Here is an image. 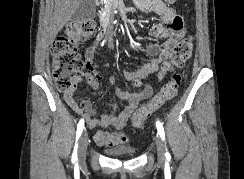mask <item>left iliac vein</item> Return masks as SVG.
<instances>
[{"label": "left iliac vein", "instance_id": "4c4485c4", "mask_svg": "<svg viewBox=\"0 0 244 179\" xmlns=\"http://www.w3.org/2000/svg\"><path fill=\"white\" fill-rule=\"evenodd\" d=\"M155 144L157 148V154L159 161H163L165 157V150H164V144L162 140L159 137H155Z\"/></svg>", "mask_w": 244, "mask_h": 179}]
</instances>
